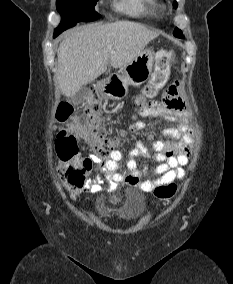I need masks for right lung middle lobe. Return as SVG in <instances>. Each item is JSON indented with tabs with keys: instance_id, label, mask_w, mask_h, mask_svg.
Instances as JSON below:
<instances>
[{
	"instance_id": "right-lung-middle-lobe-1",
	"label": "right lung middle lobe",
	"mask_w": 233,
	"mask_h": 284,
	"mask_svg": "<svg viewBox=\"0 0 233 284\" xmlns=\"http://www.w3.org/2000/svg\"><path fill=\"white\" fill-rule=\"evenodd\" d=\"M98 0H57L56 6L62 19L54 31V37L78 22H90L100 18L94 6Z\"/></svg>"
}]
</instances>
